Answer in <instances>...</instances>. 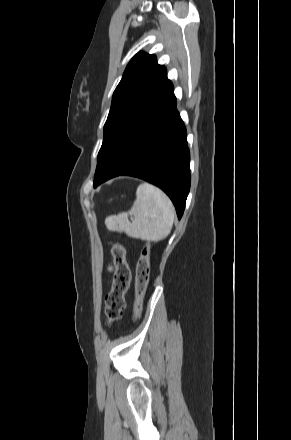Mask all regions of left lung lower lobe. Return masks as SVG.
Returning a JSON list of instances; mask_svg holds the SVG:
<instances>
[{"instance_id": "0a47b994", "label": "left lung lower lobe", "mask_w": 291, "mask_h": 440, "mask_svg": "<svg viewBox=\"0 0 291 440\" xmlns=\"http://www.w3.org/2000/svg\"><path fill=\"white\" fill-rule=\"evenodd\" d=\"M186 137L170 82L116 141L94 176V187L120 175L144 179L167 193L180 219L190 189Z\"/></svg>"}]
</instances>
